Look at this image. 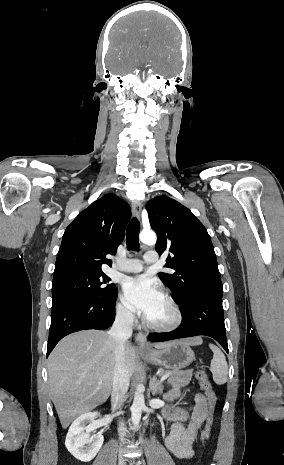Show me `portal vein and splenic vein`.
<instances>
[{
	"instance_id": "obj_1",
	"label": "portal vein and splenic vein",
	"mask_w": 284,
	"mask_h": 465,
	"mask_svg": "<svg viewBox=\"0 0 284 465\" xmlns=\"http://www.w3.org/2000/svg\"><path fill=\"white\" fill-rule=\"evenodd\" d=\"M169 375H171V373H167V375H163L161 381H165V379H168ZM100 383H102V381H100Z\"/></svg>"
}]
</instances>
